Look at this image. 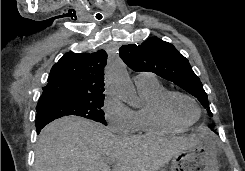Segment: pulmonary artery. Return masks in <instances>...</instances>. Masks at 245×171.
Segmentation results:
<instances>
[{
  "mask_svg": "<svg viewBox=\"0 0 245 171\" xmlns=\"http://www.w3.org/2000/svg\"><path fill=\"white\" fill-rule=\"evenodd\" d=\"M155 76L149 72H141L134 78L136 85L155 80Z\"/></svg>",
  "mask_w": 245,
  "mask_h": 171,
  "instance_id": "1",
  "label": "pulmonary artery"
}]
</instances>
